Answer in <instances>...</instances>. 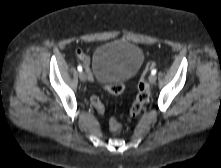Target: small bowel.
I'll list each match as a JSON object with an SVG mask.
<instances>
[{
	"mask_svg": "<svg viewBox=\"0 0 221 168\" xmlns=\"http://www.w3.org/2000/svg\"><path fill=\"white\" fill-rule=\"evenodd\" d=\"M78 57H79V60L84 64V65H88L89 63V60L87 58V56L85 54H83L82 52H78Z\"/></svg>",
	"mask_w": 221,
	"mask_h": 168,
	"instance_id": "obj_1",
	"label": "small bowel"
}]
</instances>
